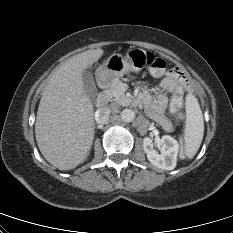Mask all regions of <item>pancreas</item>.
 Instances as JSON below:
<instances>
[{"mask_svg":"<svg viewBox=\"0 0 233 233\" xmlns=\"http://www.w3.org/2000/svg\"><path fill=\"white\" fill-rule=\"evenodd\" d=\"M122 85L123 83L120 80H116L110 89L106 91V94L113 98V101L117 104L127 106L131 103V99L125 96Z\"/></svg>","mask_w":233,"mask_h":233,"instance_id":"1","label":"pancreas"}]
</instances>
